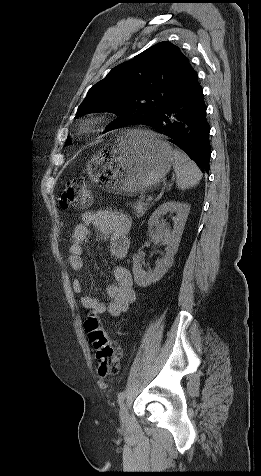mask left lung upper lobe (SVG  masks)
Segmentation results:
<instances>
[{
  "instance_id": "left-lung-upper-lobe-1",
  "label": "left lung upper lobe",
  "mask_w": 261,
  "mask_h": 476,
  "mask_svg": "<svg viewBox=\"0 0 261 476\" xmlns=\"http://www.w3.org/2000/svg\"><path fill=\"white\" fill-rule=\"evenodd\" d=\"M195 73L189 59L172 43L160 42L114 67L93 85L76 117L99 111L119 117L106 132L144 124L162 113ZM69 141V140H68Z\"/></svg>"
}]
</instances>
